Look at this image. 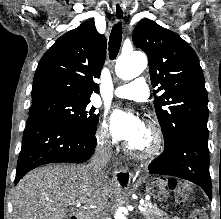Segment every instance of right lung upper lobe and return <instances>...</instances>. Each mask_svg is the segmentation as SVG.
I'll return each instance as SVG.
<instances>
[{"label": "right lung upper lobe", "mask_w": 221, "mask_h": 219, "mask_svg": "<svg viewBox=\"0 0 221 219\" xmlns=\"http://www.w3.org/2000/svg\"><path fill=\"white\" fill-rule=\"evenodd\" d=\"M106 38L90 19L62 35L43 55L35 72L32 102L47 98L90 99L99 93Z\"/></svg>", "instance_id": "obj_1"}]
</instances>
